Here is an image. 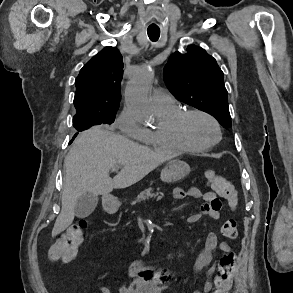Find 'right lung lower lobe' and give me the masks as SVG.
<instances>
[{
	"mask_svg": "<svg viewBox=\"0 0 293 293\" xmlns=\"http://www.w3.org/2000/svg\"><path fill=\"white\" fill-rule=\"evenodd\" d=\"M77 134H78V133H76L75 136H76ZM75 136L73 137V139L75 138ZM73 139L71 140V142L73 141ZM71 142H70V143H71Z\"/></svg>",
	"mask_w": 293,
	"mask_h": 293,
	"instance_id": "1",
	"label": "right lung lower lobe"
}]
</instances>
